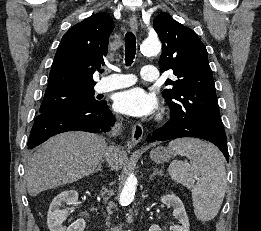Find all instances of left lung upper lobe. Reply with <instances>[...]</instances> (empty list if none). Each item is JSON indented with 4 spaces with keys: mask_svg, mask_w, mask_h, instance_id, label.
I'll use <instances>...</instances> for the list:
<instances>
[{
    "mask_svg": "<svg viewBox=\"0 0 261 231\" xmlns=\"http://www.w3.org/2000/svg\"><path fill=\"white\" fill-rule=\"evenodd\" d=\"M153 26L163 45L160 69L162 72L172 69L177 77L176 80L167 79L165 84L173 88L162 92L171 117L226 140L204 44L192 29L168 13L156 16Z\"/></svg>",
    "mask_w": 261,
    "mask_h": 231,
    "instance_id": "left-lung-upper-lobe-1",
    "label": "left lung upper lobe"
}]
</instances>
